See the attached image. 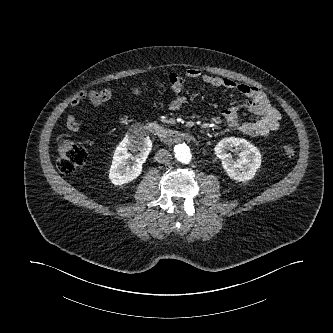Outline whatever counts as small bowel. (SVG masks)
<instances>
[{
  "label": "small bowel",
  "instance_id": "c3829d8e",
  "mask_svg": "<svg viewBox=\"0 0 333 333\" xmlns=\"http://www.w3.org/2000/svg\"><path fill=\"white\" fill-rule=\"evenodd\" d=\"M196 79L201 80L213 88L229 92H239L247 97V100L243 102L231 104L222 109L221 116L228 125L237 127L243 134L251 137H264L278 130L280 113L270 104L266 94L262 90L229 78L208 75L197 68L188 69L184 75L171 74L169 76L168 80L173 94L168 104L170 109L179 110L189 102V97L181 95V92L189 80ZM131 93L133 95H139L140 90L138 88H132ZM111 97L112 91L108 88L99 91H81L72 97L69 105L75 107L85 100L90 101L94 105H101ZM242 108H246L256 115L257 119L241 121L239 113ZM66 126L73 132H77L80 129V124L73 114L67 116Z\"/></svg>",
  "mask_w": 333,
  "mask_h": 333
}]
</instances>
